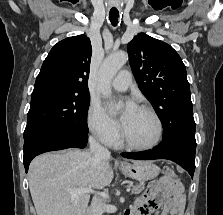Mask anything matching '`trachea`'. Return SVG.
Returning <instances> with one entry per match:
<instances>
[{
    "label": "trachea",
    "instance_id": "1",
    "mask_svg": "<svg viewBox=\"0 0 223 215\" xmlns=\"http://www.w3.org/2000/svg\"><path fill=\"white\" fill-rule=\"evenodd\" d=\"M118 16H119V12L116 9H111L109 12V18L110 21L112 23V25L115 27L118 23Z\"/></svg>",
    "mask_w": 223,
    "mask_h": 215
}]
</instances>
